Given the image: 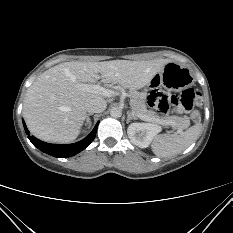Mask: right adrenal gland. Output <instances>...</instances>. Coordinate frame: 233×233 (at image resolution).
Masks as SVG:
<instances>
[{
  "label": "right adrenal gland",
  "mask_w": 233,
  "mask_h": 233,
  "mask_svg": "<svg viewBox=\"0 0 233 233\" xmlns=\"http://www.w3.org/2000/svg\"><path fill=\"white\" fill-rule=\"evenodd\" d=\"M93 115V113H89L87 116H86V124L89 125L90 124V116Z\"/></svg>",
  "instance_id": "obj_1"
}]
</instances>
